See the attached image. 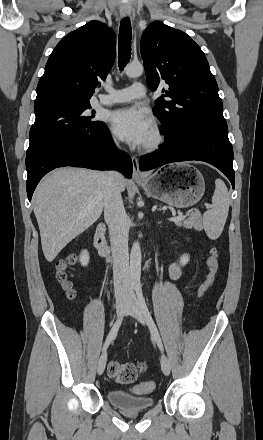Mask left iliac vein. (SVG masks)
<instances>
[{"mask_svg":"<svg viewBox=\"0 0 263 440\" xmlns=\"http://www.w3.org/2000/svg\"><path fill=\"white\" fill-rule=\"evenodd\" d=\"M127 312L134 317L142 325H146V319L142 312L139 302L137 301L134 294H131L127 300ZM161 369L165 375L170 374L171 366L168 358L165 355L161 356L160 359Z\"/></svg>","mask_w":263,"mask_h":440,"instance_id":"1","label":"left iliac vein"}]
</instances>
